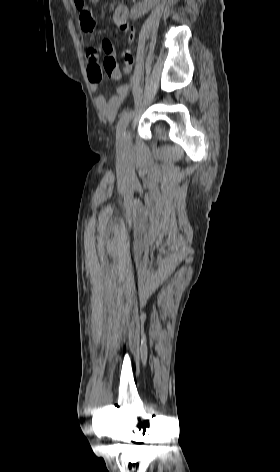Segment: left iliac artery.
Masks as SVG:
<instances>
[{
  "label": "left iliac artery",
  "instance_id": "obj_1",
  "mask_svg": "<svg viewBox=\"0 0 280 472\" xmlns=\"http://www.w3.org/2000/svg\"><path fill=\"white\" fill-rule=\"evenodd\" d=\"M133 115H134V112L131 110L126 111L121 115L120 120L117 124V132H116L117 140L120 141L124 138L126 127L129 121L131 120V118L133 117Z\"/></svg>",
  "mask_w": 280,
  "mask_h": 472
}]
</instances>
